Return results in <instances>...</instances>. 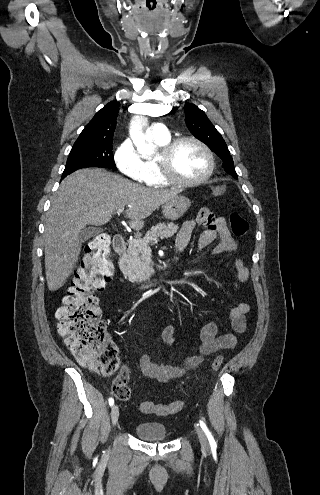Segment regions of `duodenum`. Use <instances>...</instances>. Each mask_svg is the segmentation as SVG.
Segmentation results:
<instances>
[{"instance_id": "1", "label": "duodenum", "mask_w": 320, "mask_h": 495, "mask_svg": "<svg viewBox=\"0 0 320 495\" xmlns=\"http://www.w3.org/2000/svg\"><path fill=\"white\" fill-rule=\"evenodd\" d=\"M113 248H114V251L119 255H123L125 253L126 242H125V239L121 235H116L113 238ZM155 285H156V283H149V284H143L142 286L145 288H148V287H153Z\"/></svg>"}]
</instances>
